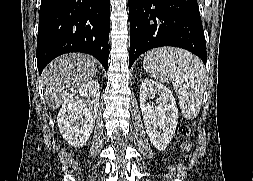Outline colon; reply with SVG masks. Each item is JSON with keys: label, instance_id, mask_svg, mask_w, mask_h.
<instances>
[{"label": "colon", "instance_id": "colon-1", "mask_svg": "<svg viewBox=\"0 0 253 181\" xmlns=\"http://www.w3.org/2000/svg\"><path fill=\"white\" fill-rule=\"evenodd\" d=\"M178 133H179L180 136L186 137V136L189 135L190 130H189V128H188L187 126L182 125V126H180V128H179V130H178ZM183 148H184L185 150H189L190 145H189L188 143H185V144L183 145Z\"/></svg>", "mask_w": 253, "mask_h": 181}]
</instances>
